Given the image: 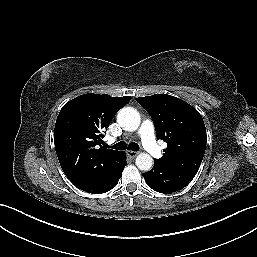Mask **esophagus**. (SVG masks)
I'll return each mask as SVG.
<instances>
[{"label": "esophagus", "mask_w": 257, "mask_h": 257, "mask_svg": "<svg viewBox=\"0 0 257 257\" xmlns=\"http://www.w3.org/2000/svg\"><path fill=\"white\" fill-rule=\"evenodd\" d=\"M127 154L130 158H135L138 155V152L135 151H127Z\"/></svg>", "instance_id": "esophagus-1"}]
</instances>
